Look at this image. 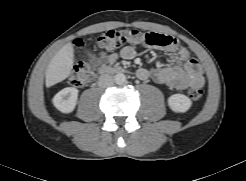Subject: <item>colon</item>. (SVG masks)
I'll return each instance as SVG.
<instances>
[{
    "label": "colon",
    "mask_w": 246,
    "mask_h": 181,
    "mask_svg": "<svg viewBox=\"0 0 246 181\" xmlns=\"http://www.w3.org/2000/svg\"><path fill=\"white\" fill-rule=\"evenodd\" d=\"M97 45L106 50H114L128 45H147L157 48H171L178 45L176 38L154 32L144 33L136 29H113L103 33L97 39ZM94 76V66L89 62H78L71 73L70 83L75 87L88 84ZM193 100L203 96L200 87H192L188 92Z\"/></svg>",
    "instance_id": "1"
}]
</instances>
